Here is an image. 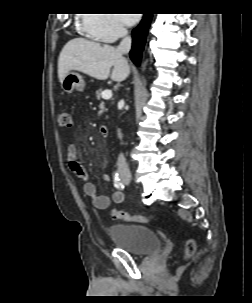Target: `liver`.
I'll return each instance as SVG.
<instances>
[{
  "label": "liver",
  "instance_id": "1",
  "mask_svg": "<svg viewBox=\"0 0 252 303\" xmlns=\"http://www.w3.org/2000/svg\"><path fill=\"white\" fill-rule=\"evenodd\" d=\"M113 70L111 72V68ZM75 70L98 80L124 81L130 74L127 60L117 49L84 38L66 43L58 59V78L61 82L70 71Z\"/></svg>",
  "mask_w": 252,
  "mask_h": 303
}]
</instances>
